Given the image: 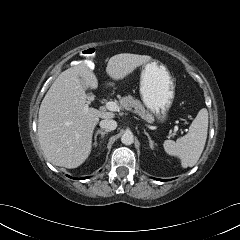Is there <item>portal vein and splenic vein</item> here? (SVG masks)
I'll return each instance as SVG.
<instances>
[{"instance_id":"obj_1","label":"portal vein and splenic vein","mask_w":240,"mask_h":240,"mask_svg":"<svg viewBox=\"0 0 240 240\" xmlns=\"http://www.w3.org/2000/svg\"><path fill=\"white\" fill-rule=\"evenodd\" d=\"M105 106H106V108L108 110L113 111V112L120 110V106L117 103L113 102V101L107 102Z\"/></svg>"}]
</instances>
